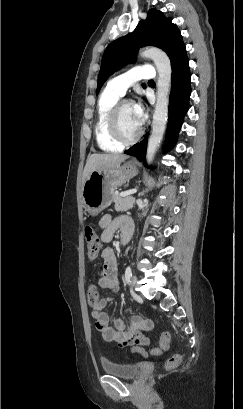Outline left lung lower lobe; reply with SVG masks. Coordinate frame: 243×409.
<instances>
[{"label":"left lung lower lobe","mask_w":243,"mask_h":409,"mask_svg":"<svg viewBox=\"0 0 243 409\" xmlns=\"http://www.w3.org/2000/svg\"><path fill=\"white\" fill-rule=\"evenodd\" d=\"M189 61L183 45L176 55L171 59L172 82L169 103V119L167 125V135L165 151L169 150L176 143L179 130L181 128L185 114L188 111L191 94ZM147 139L135 144L125 151V154L136 156L140 161H145Z\"/></svg>","instance_id":"obj_1"}]
</instances>
